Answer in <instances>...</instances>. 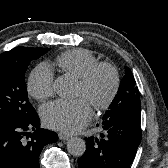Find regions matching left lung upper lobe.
I'll return each instance as SVG.
<instances>
[{
  "label": "left lung upper lobe",
  "mask_w": 168,
  "mask_h": 168,
  "mask_svg": "<svg viewBox=\"0 0 168 168\" xmlns=\"http://www.w3.org/2000/svg\"><path fill=\"white\" fill-rule=\"evenodd\" d=\"M126 75L120 83L118 93L104 116L122 113H140L139 90L131 70L125 67Z\"/></svg>",
  "instance_id": "5c2ea615"
}]
</instances>
